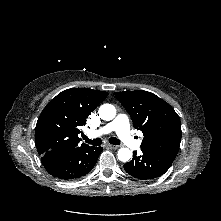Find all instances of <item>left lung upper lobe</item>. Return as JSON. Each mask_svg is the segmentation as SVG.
<instances>
[{
	"label": "left lung upper lobe",
	"instance_id": "5c2ea615",
	"mask_svg": "<svg viewBox=\"0 0 221 221\" xmlns=\"http://www.w3.org/2000/svg\"><path fill=\"white\" fill-rule=\"evenodd\" d=\"M133 126L143 132L141 147L177 155L181 141V123L174 109L155 94L143 90L114 93Z\"/></svg>",
	"mask_w": 221,
	"mask_h": 221
}]
</instances>
